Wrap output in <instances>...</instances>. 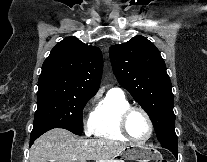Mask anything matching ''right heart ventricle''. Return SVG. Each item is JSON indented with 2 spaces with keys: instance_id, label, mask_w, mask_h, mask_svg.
Here are the masks:
<instances>
[{
  "instance_id": "right-heart-ventricle-1",
  "label": "right heart ventricle",
  "mask_w": 207,
  "mask_h": 162,
  "mask_svg": "<svg viewBox=\"0 0 207 162\" xmlns=\"http://www.w3.org/2000/svg\"><path fill=\"white\" fill-rule=\"evenodd\" d=\"M129 106L130 103L122 92L109 90L92 112L91 131L93 134L103 139L126 141L127 138L119 129V117Z\"/></svg>"
}]
</instances>
